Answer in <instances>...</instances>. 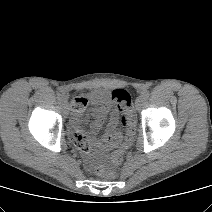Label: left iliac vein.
Masks as SVG:
<instances>
[{"label":"left iliac vein","instance_id":"1","mask_svg":"<svg viewBox=\"0 0 212 212\" xmlns=\"http://www.w3.org/2000/svg\"><path fill=\"white\" fill-rule=\"evenodd\" d=\"M144 103H145V98L142 95L138 96L135 101L136 110L140 111L143 108Z\"/></svg>","mask_w":212,"mask_h":212}]
</instances>
